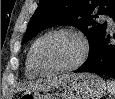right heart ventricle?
<instances>
[{
	"label": "right heart ventricle",
	"mask_w": 115,
	"mask_h": 99,
	"mask_svg": "<svg viewBox=\"0 0 115 99\" xmlns=\"http://www.w3.org/2000/svg\"><path fill=\"white\" fill-rule=\"evenodd\" d=\"M25 74L28 78L34 79L40 76V74L34 69L32 62H31V57H30V50L27 54L26 57V62H25Z\"/></svg>",
	"instance_id": "e07e8e85"
}]
</instances>
